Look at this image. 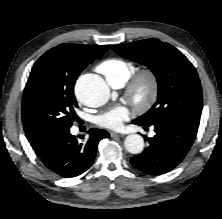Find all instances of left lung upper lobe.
<instances>
[{
    "label": "left lung upper lobe",
    "mask_w": 222,
    "mask_h": 219,
    "mask_svg": "<svg viewBox=\"0 0 222 219\" xmlns=\"http://www.w3.org/2000/svg\"><path fill=\"white\" fill-rule=\"evenodd\" d=\"M119 55L146 65L158 81V99L135 121L154 124L176 119L198 128L202 91L191 62L175 47L158 39H146L112 46Z\"/></svg>",
    "instance_id": "obj_1"
}]
</instances>
